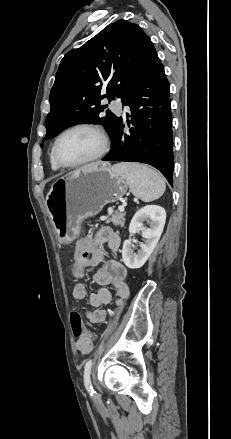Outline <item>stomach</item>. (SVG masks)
Here are the masks:
<instances>
[{"mask_svg": "<svg viewBox=\"0 0 231 439\" xmlns=\"http://www.w3.org/2000/svg\"><path fill=\"white\" fill-rule=\"evenodd\" d=\"M125 178L109 163L75 170L55 181L46 196L47 211L61 243L72 242L80 233L83 220L98 214L127 192Z\"/></svg>", "mask_w": 231, "mask_h": 439, "instance_id": "obj_1", "label": "stomach"}]
</instances>
